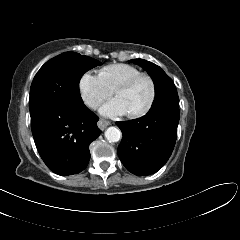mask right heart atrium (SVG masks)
<instances>
[{
	"mask_svg": "<svg viewBox=\"0 0 240 240\" xmlns=\"http://www.w3.org/2000/svg\"><path fill=\"white\" fill-rule=\"evenodd\" d=\"M79 91L83 102L92 109L99 107L114 92L99 75L90 72L80 77Z\"/></svg>",
	"mask_w": 240,
	"mask_h": 240,
	"instance_id": "obj_1",
	"label": "right heart atrium"
}]
</instances>
